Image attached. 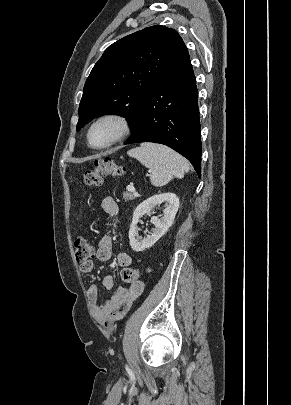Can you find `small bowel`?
<instances>
[{
	"mask_svg": "<svg viewBox=\"0 0 291 405\" xmlns=\"http://www.w3.org/2000/svg\"><path fill=\"white\" fill-rule=\"evenodd\" d=\"M103 213L109 218H116L119 212L118 204L112 197H105L101 202ZM113 255V243L110 235H104L98 242L96 257L100 261H107ZM117 265L128 267L132 264V257L125 252H121L116 257ZM94 268L92 260L80 264L82 273H90ZM103 285L107 290L113 292L112 296L102 305L98 304V289L96 285H91L87 295L91 305V312L94 320L105 328H111L117 321L125 317L133 302L142 294L144 283L137 281L130 287H117L113 276L108 275L103 280Z\"/></svg>",
	"mask_w": 291,
	"mask_h": 405,
	"instance_id": "c3829d8e",
	"label": "small bowel"
}]
</instances>
